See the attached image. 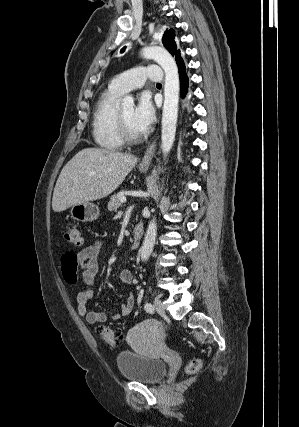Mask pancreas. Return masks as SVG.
Returning <instances> with one entry per match:
<instances>
[{"instance_id":"pancreas-1","label":"pancreas","mask_w":299,"mask_h":427,"mask_svg":"<svg viewBox=\"0 0 299 427\" xmlns=\"http://www.w3.org/2000/svg\"><path fill=\"white\" fill-rule=\"evenodd\" d=\"M122 195L116 194L111 196L110 201L108 203V210L109 211H116L121 206L120 198Z\"/></svg>"}]
</instances>
